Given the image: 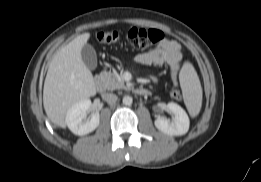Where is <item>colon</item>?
Instances as JSON below:
<instances>
[{
    "label": "colon",
    "instance_id": "colon-1",
    "mask_svg": "<svg viewBox=\"0 0 261 182\" xmlns=\"http://www.w3.org/2000/svg\"><path fill=\"white\" fill-rule=\"evenodd\" d=\"M96 38L100 43L107 45H114L124 40L131 48L139 50L159 45L164 39V34L157 29L133 27L123 34L116 31L99 32ZM170 95L177 100L181 98L179 91L175 88L170 90Z\"/></svg>",
    "mask_w": 261,
    "mask_h": 182
}]
</instances>
